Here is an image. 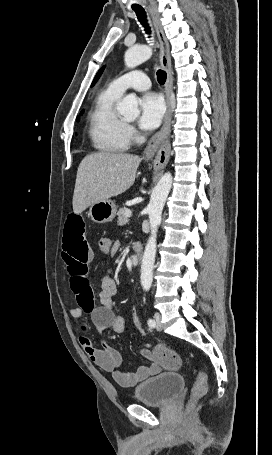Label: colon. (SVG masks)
<instances>
[{"mask_svg": "<svg viewBox=\"0 0 272 455\" xmlns=\"http://www.w3.org/2000/svg\"><path fill=\"white\" fill-rule=\"evenodd\" d=\"M111 241L108 237L102 236L98 240V247L103 255L109 253ZM153 358L165 369L178 370L181 367L180 356L170 348L158 345L153 350ZM207 375L205 372L195 371V383L192 388V401L202 398L207 392Z\"/></svg>", "mask_w": 272, "mask_h": 455, "instance_id": "5ec220e1", "label": "colon"}]
</instances>
